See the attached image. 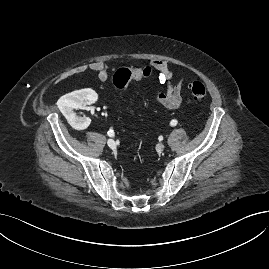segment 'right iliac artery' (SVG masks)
I'll list each match as a JSON object with an SVG mask.
<instances>
[{"instance_id":"right-iliac-artery-1","label":"right iliac artery","mask_w":269,"mask_h":269,"mask_svg":"<svg viewBox=\"0 0 269 269\" xmlns=\"http://www.w3.org/2000/svg\"><path fill=\"white\" fill-rule=\"evenodd\" d=\"M107 134H108L109 137H113L114 136V131L113 130H109Z\"/></svg>"}]
</instances>
